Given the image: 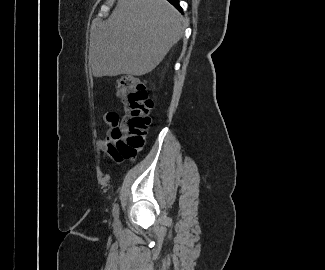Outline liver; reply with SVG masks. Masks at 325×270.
I'll use <instances>...</instances> for the list:
<instances>
[{
  "label": "liver",
  "instance_id": "6515ba94",
  "mask_svg": "<svg viewBox=\"0 0 325 270\" xmlns=\"http://www.w3.org/2000/svg\"><path fill=\"white\" fill-rule=\"evenodd\" d=\"M183 30V17L166 0H118L106 21L91 26L92 73L145 75L160 64Z\"/></svg>",
  "mask_w": 325,
  "mask_h": 270
}]
</instances>
